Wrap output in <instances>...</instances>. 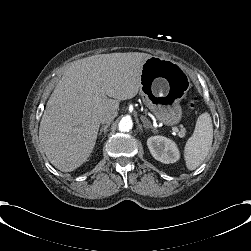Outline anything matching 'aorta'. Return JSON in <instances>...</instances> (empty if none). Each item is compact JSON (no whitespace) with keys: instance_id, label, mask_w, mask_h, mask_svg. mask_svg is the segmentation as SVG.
<instances>
[{"instance_id":"1","label":"aorta","mask_w":251,"mask_h":251,"mask_svg":"<svg viewBox=\"0 0 251 251\" xmlns=\"http://www.w3.org/2000/svg\"><path fill=\"white\" fill-rule=\"evenodd\" d=\"M133 127V122L132 119L130 118H123L120 122H119V130L126 132L130 129H132Z\"/></svg>"}]
</instances>
